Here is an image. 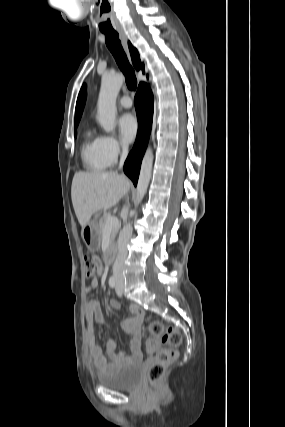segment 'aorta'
I'll return each instance as SVG.
<instances>
[{"label":"aorta","mask_w":285,"mask_h":427,"mask_svg":"<svg viewBox=\"0 0 285 427\" xmlns=\"http://www.w3.org/2000/svg\"><path fill=\"white\" fill-rule=\"evenodd\" d=\"M122 74L105 75L102 77L101 88L97 103V119L106 132L116 127V99L123 85ZM153 166V151L147 148L142 160L138 184L136 188V203L139 204L147 192Z\"/></svg>","instance_id":"762f6f07"}]
</instances>
